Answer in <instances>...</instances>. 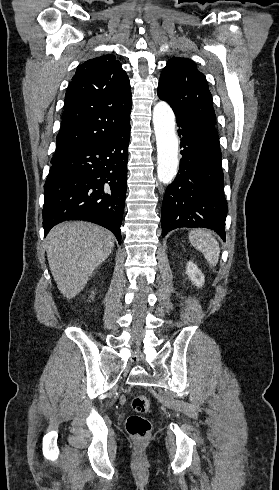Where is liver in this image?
Returning a JSON list of instances; mask_svg holds the SVG:
<instances>
[{
    "label": "liver",
    "mask_w": 279,
    "mask_h": 490,
    "mask_svg": "<svg viewBox=\"0 0 279 490\" xmlns=\"http://www.w3.org/2000/svg\"><path fill=\"white\" fill-rule=\"evenodd\" d=\"M114 236L89 222H63L52 228L46 238L51 274L64 298H75L94 270L109 258Z\"/></svg>",
    "instance_id": "liver-1"
}]
</instances>
